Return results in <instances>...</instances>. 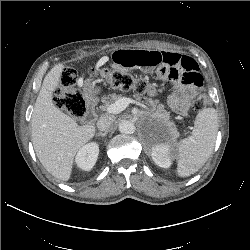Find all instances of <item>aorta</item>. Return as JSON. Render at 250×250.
<instances>
[{
  "instance_id": "obj_1",
  "label": "aorta",
  "mask_w": 250,
  "mask_h": 250,
  "mask_svg": "<svg viewBox=\"0 0 250 250\" xmlns=\"http://www.w3.org/2000/svg\"><path fill=\"white\" fill-rule=\"evenodd\" d=\"M119 131L123 134H132L135 132V125L132 121L123 120L119 123Z\"/></svg>"
}]
</instances>
